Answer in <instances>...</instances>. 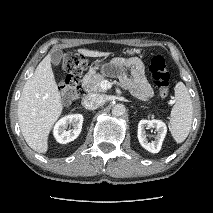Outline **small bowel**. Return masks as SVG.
Wrapping results in <instances>:
<instances>
[{"label": "small bowel", "instance_id": "small-bowel-1", "mask_svg": "<svg viewBox=\"0 0 213 213\" xmlns=\"http://www.w3.org/2000/svg\"><path fill=\"white\" fill-rule=\"evenodd\" d=\"M114 72L120 73L122 85L140 99H148L152 89L147 81L143 63L138 58H116L112 61ZM129 71L130 75L123 73Z\"/></svg>", "mask_w": 213, "mask_h": 213}]
</instances>
